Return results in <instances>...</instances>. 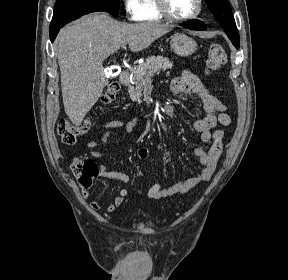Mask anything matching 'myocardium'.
I'll list each match as a JSON object with an SVG mask.
<instances>
[{
	"instance_id": "myocardium-1",
	"label": "myocardium",
	"mask_w": 288,
	"mask_h": 280,
	"mask_svg": "<svg viewBox=\"0 0 288 280\" xmlns=\"http://www.w3.org/2000/svg\"><path fill=\"white\" fill-rule=\"evenodd\" d=\"M156 2H157L158 10L160 14L162 15V17L173 22L191 21L200 15L202 8H203V0H197L196 9L192 14L188 16H184V17H178L171 13L167 0H156Z\"/></svg>"
}]
</instances>
